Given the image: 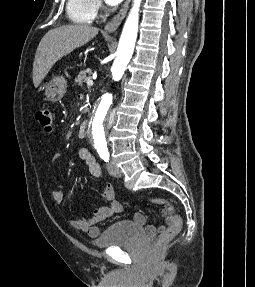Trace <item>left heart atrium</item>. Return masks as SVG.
<instances>
[{"instance_id":"obj_1","label":"left heart atrium","mask_w":255,"mask_h":287,"mask_svg":"<svg viewBox=\"0 0 255 287\" xmlns=\"http://www.w3.org/2000/svg\"><path fill=\"white\" fill-rule=\"evenodd\" d=\"M111 1H115V0H111ZM75 33H84V32H75ZM76 39H85V38H76Z\"/></svg>"}]
</instances>
